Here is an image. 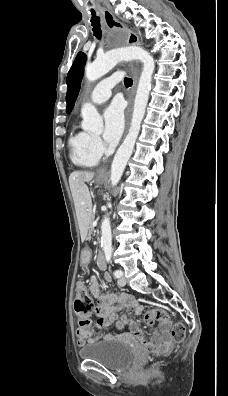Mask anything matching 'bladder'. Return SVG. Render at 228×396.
I'll list each match as a JSON object with an SVG mask.
<instances>
[{
  "label": "bladder",
  "mask_w": 228,
  "mask_h": 396,
  "mask_svg": "<svg viewBox=\"0 0 228 396\" xmlns=\"http://www.w3.org/2000/svg\"><path fill=\"white\" fill-rule=\"evenodd\" d=\"M79 356L113 370L126 369L134 360V352L130 345L114 339L86 344L79 350Z\"/></svg>",
  "instance_id": "31cf9c89"
}]
</instances>
